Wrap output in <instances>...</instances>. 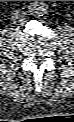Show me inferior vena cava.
I'll return each instance as SVG.
<instances>
[{
    "instance_id": "obj_1",
    "label": "inferior vena cava",
    "mask_w": 74,
    "mask_h": 122,
    "mask_svg": "<svg viewBox=\"0 0 74 122\" xmlns=\"http://www.w3.org/2000/svg\"><path fill=\"white\" fill-rule=\"evenodd\" d=\"M26 13L21 10H16L13 12L12 20L15 24H23L25 22Z\"/></svg>"
}]
</instances>
